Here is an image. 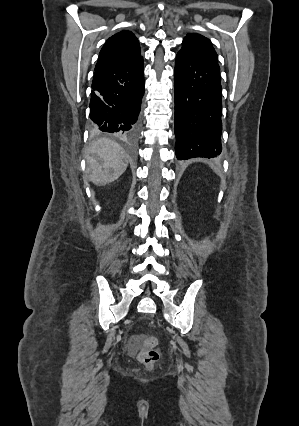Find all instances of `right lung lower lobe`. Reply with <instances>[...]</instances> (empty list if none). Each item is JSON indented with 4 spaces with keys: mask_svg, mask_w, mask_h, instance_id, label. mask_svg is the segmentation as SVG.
<instances>
[{
    "mask_svg": "<svg viewBox=\"0 0 299 426\" xmlns=\"http://www.w3.org/2000/svg\"><path fill=\"white\" fill-rule=\"evenodd\" d=\"M143 57L95 70L90 118L97 130L134 139L144 95Z\"/></svg>",
    "mask_w": 299,
    "mask_h": 426,
    "instance_id": "98d812e1",
    "label": "right lung lower lobe"
}]
</instances>
